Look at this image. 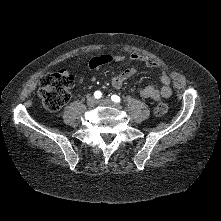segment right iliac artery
Segmentation results:
<instances>
[{"instance_id":"1","label":"right iliac artery","mask_w":221,"mask_h":221,"mask_svg":"<svg viewBox=\"0 0 221 221\" xmlns=\"http://www.w3.org/2000/svg\"><path fill=\"white\" fill-rule=\"evenodd\" d=\"M101 96H102V93H101L100 91H96V92L94 93V97H95L96 99L101 98Z\"/></svg>"}]
</instances>
